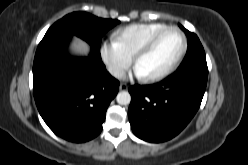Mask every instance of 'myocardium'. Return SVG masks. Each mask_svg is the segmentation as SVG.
Segmentation results:
<instances>
[{"label": "myocardium", "mask_w": 248, "mask_h": 165, "mask_svg": "<svg viewBox=\"0 0 248 165\" xmlns=\"http://www.w3.org/2000/svg\"><path fill=\"white\" fill-rule=\"evenodd\" d=\"M168 31H176L180 34V36L182 38L181 50H180L179 54L177 55V57L174 59V61L167 68H165L163 71H161L157 74L151 75V76H146V80H148V81H158V80H161V79L165 78L166 76H168L170 73H172L179 66V64L181 63V61L183 60V58L187 52L188 40H187L186 34L177 26H166L165 28H163V29L157 31L156 33H154L153 35H151L147 39V41L137 50V52L133 56V63L135 65H137L138 60L142 56L147 54L152 49V47L155 45V43L158 41V39Z\"/></svg>", "instance_id": "obj_1"}]
</instances>
